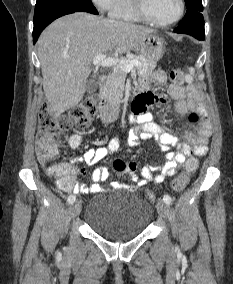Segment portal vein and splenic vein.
Masks as SVG:
<instances>
[{
  "label": "portal vein and splenic vein",
  "instance_id": "18ae733b",
  "mask_svg": "<svg viewBox=\"0 0 233 284\" xmlns=\"http://www.w3.org/2000/svg\"><path fill=\"white\" fill-rule=\"evenodd\" d=\"M93 64L95 66H102V67H112L117 66L120 67L123 71L129 72L133 69V67H140L141 63L137 59L132 60H124V59H117V58H110L107 57L106 54H99L93 58Z\"/></svg>",
  "mask_w": 233,
  "mask_h": 284
}]
</instances>
